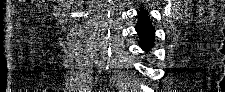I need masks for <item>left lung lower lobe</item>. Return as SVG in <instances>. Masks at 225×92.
<instances>
[{
    "label": "left lung lower lobe",
    "instance_id": "0a47b994",
    "mask_svg": "<svg viewBox=\"0 0 225 92\" xmlns=\"http://www.w3.org/2000/svg\"><path fill=\"white\" fill-rule=\"evenodd\" d=\"M136 31L140 37V46L142 49L150 50L154 45V35L155 30L152 26V22L150 20V16L146 9L139 8L138 11V23L136 26Z\"/></svg>",
    "mask_w": 225,
    "mask_h": 92
}]
</instances>
